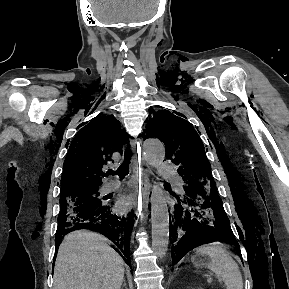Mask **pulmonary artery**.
Listing matches in <instances>:
<instances>
[{
    "instance_id": "e3ab8cb5",
    "label": "pulmonary artery",
    "mask_w": 289,
    "mask_h": 289,
    "mask_svg": "<svg viewBox=\"0 0 289 289\" xmlns=\"http://www.w3.org/2000/svg\"><path fill=\"white\" fill-rule=\"evenodd\" d=\"M158 171H159V174L162 178H166V179H174L175 176H176V173L175 171L173 170L172 166L168 163H160L158 165ZM176 182H178L176 180ZM119 186V182L117 181H110V182H107L104 186H103V191L104 192H109L113 189H115L116 187Z\"/></svg>"
}]
</instances>
